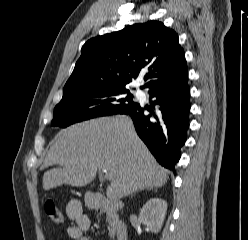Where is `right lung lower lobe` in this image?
<instances>
[{
	"instance_id": "98d812e1",
	"label": "right lung lower lobe",
	"mask_w": 248,
	"mask_h": 240,
	"mask_svg": "<svg viewBox=\"0 0 248 240\" xmlns=\"http://www.w3.org/2000/svg\"><path fill=\"white\" fill-rule=\"evenodd\" d=\"M187 81L186 68L149 86L150 98H155L150 102L152 107H156L154 111L136 103L117 113L132 118L139 137L157 161L174 173L189 128L190 90ZM146 109L151 113L146 114Z\"/></svg>"
}]
</instances>
